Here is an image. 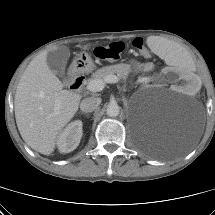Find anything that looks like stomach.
<instances>
[{
	"label": "stomach",
	"instance_id": "1",
	"mask_svg": "<svg viewBox=\"0 0 215 215\" xmlns=\"http://www.w3.org/2000/svg\"><path fill=\"white\" fill-rule=\"evenodd\" d=\"M76 72H90L95 68L91 56L86 52H81L72 63Z\"/></svg>",
	"mask_w": 215,
	"mask_h": 215
}]
</instances>
